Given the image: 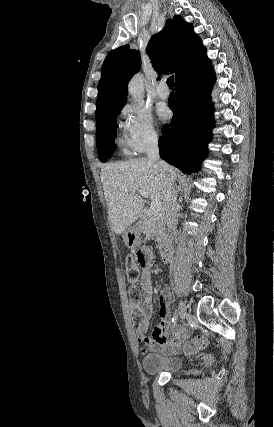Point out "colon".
Segmentation results:
<instances>
[{
	"mask_svg": "<svg viewBox=\"0 0 274 427\" xmlns=\"http://www.w3.org/2000/svg\"><path fill=\"white\" fill-rule=\"evenodd\" d=\"M147 261V255L141 249H136L131 252L126 260V273L127 280L129 283V299H130V308L133 309L139 305L142 299V293L137 286L138 282V273L144 264ZM135 316L139 315V312L136 310L134 312ZM207 345V337L205 335H197L191 340L185 342L184 350L188 354L199 353Z\"/></svg>",
	"mask_w": 274,
	"mask_h": 427,
	"instance_id": "colon-1",
	"label": "colon"
}]
</instances>
